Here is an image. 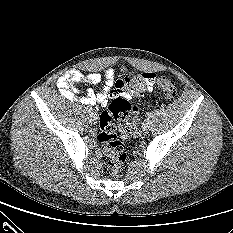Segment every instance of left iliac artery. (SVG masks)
<instances>
[{"label":"left iliac artery","instance_id":"1","mask_svg":"<svg viewBox=\"0 0 233 233\" xmlns=\"http://www.w3.org/2000/svg\"><path fill=\"white\" fill-rule=\"evenodd\" d=\"M146 117L149 119L150 117H152V113H151V112H148V113L146 114Z\"/></svg>","mask_w":233,"mask_h":233}]
</instances>
